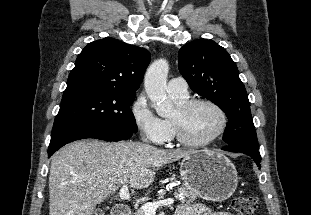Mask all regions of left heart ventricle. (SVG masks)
Wrapping results in <instances>:
<instances>
[{"label": "left heart ventricle", "instance_id": "obj_1", "mask_svg": "<svg viewBox=\"0 0 311 215\" xmlns=\"http://www.w3.org/2000/svg\"><path fill=\"white\" fill-rule=\"evenodd\" d=\"M171 118L182 122L186 136L193 141H203L212 136L221 122L219 113L205 104L194 106L184 116H181L176 109Z\"/></svg>", "mask_w": 311, "mask_h": 215}]
</instances>
